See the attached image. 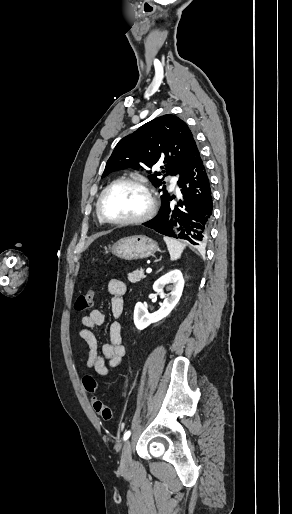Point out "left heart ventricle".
<instances>
[{
	"instance_id": "b2bd125f",
	"label": "left heart ventricle",
	"mask_w": 292,
	"mask_h": 514,
	"mask_svg": "<svg viewBox=\"0 0 292 514\" xmlns=\"http://www.w3.org/2000/svg\"><path fill=\"white\" fill-rule=\"evenodd\" d=\"M147 208L145 193L134 185H119L107 192L102 202L103 214L112 220H126L141 215Z\"/></svg>"
}]
</instances>
